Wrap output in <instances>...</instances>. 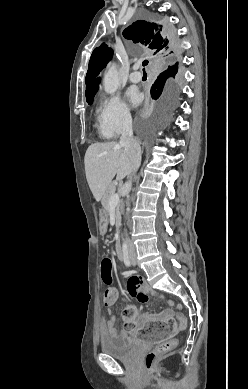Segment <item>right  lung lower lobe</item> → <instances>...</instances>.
Masks as SVG:
<instances>
[{"label": "right lung lower lobe", "instance_id": "98d812e1", "mask_svg": "<svg viewBox=\"0 0 248 389\" xmlns=\"http://www.w3.org/2000/svg\"><path fill=\"white\" fill-rule=\"evenodd\" d=\"M164 26H165L166 34H167V36H168V38H169V40H170V42H171L172 47L176 49V48H177L178 42H177V40H176V38H175V35H174L171 31L168 30V27H167L166 25H164ZM156 84H157V83H154L153 86H152V88H153L154 85H156Z\"/></svg>", "mask_w": 248, "mask_h": 389}]
</instances>
